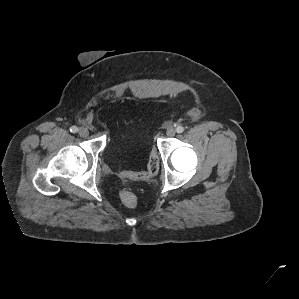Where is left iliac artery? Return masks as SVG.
<instances>
[{
    "label": "left iliac artery",
    "instance_id": "44dca946",
    "mask_svg": "<svg viewBox=\"0 0 299 299\" xmlns=\"http://www.w3.org/2000/svg\"><path fill=\"white\" fill-rule=\"evenodd\" d=\"M177 133H182L184 131V127L183 126H178L176 128Z\"/></svg>",
    "mask_w": 299,
    "mask_h": 299
}]
</instances>
